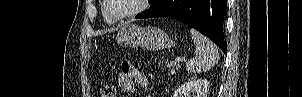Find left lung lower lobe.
<instances>
[{"instance_id": "1", "label": "left lung lower lobe", "mask_w": 302, "mask_h": 97, "mask_svg": "<svg viewBox=\"0 0 302 97\" xmlns=\"http://www.w3.org/2000/svg\"><path fill=\"white\" fill-rule=\"evenodd\" d=\"M227 0H153L136 18L172 17L209 37L226 53L223 20Z\"/></svg>"}]
</instances>
